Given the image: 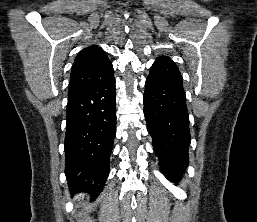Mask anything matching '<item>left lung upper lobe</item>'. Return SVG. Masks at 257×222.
I'll return each instance as SVG.
<instances>
[{
	"mask_svg": "<svg viewBox=\"0 0 257 222\" xmlns=\"http://www.w3.org/2000/svg\"><path fill=\"white\" fill-rule=\"evenodd\" d=\"M160 58H165V59H169L168 57H164V56H160ZM170 60V59H169Z\"/></svg>",
	"mask_w": 257,
	"mask_h": 222,
	"instance_id": "5c2ea615",
	"label": "left lung upper lobe"
}]
</instances>
